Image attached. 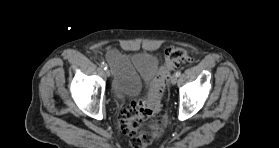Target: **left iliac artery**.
<instances>
[{
	"instance_id": "1",
	"label": "left iliac artery",
	"mask_w": 279,
	"mask_h": 148,
	"mask_svg": "<svg viewBox=\"0 0 279 148\" xmlns=\"http://www.w3.org/2000/svg\"><path fill=\"white\" fill-rule=\"evenodd\" d=\"M181 75V71L176 72V76L179 77Z\"/></svg>"
}]
</instances>
